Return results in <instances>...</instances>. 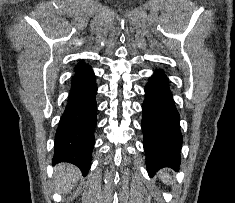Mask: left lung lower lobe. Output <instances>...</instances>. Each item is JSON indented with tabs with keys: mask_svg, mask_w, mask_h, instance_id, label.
I'll return each mask as SVG.
<instances>
[{
	"mask_svg": "<svg viewBox=\"0 0 235 203\" xmlns=\"http://www.w3.org/2000/svg\"><path fill=\"white\" fill-rule=\"evenodd\" d=\"M142 130L146 166L150 176L160 168L179 170L182 134L168 79L156 72L145 87Z\"/></svg>",
	"mask_w": 235,
	"mask_h": 203,
	"instance_id": "0a47b994",
	"label": "left lung lower lobe"
}]
</instances>
